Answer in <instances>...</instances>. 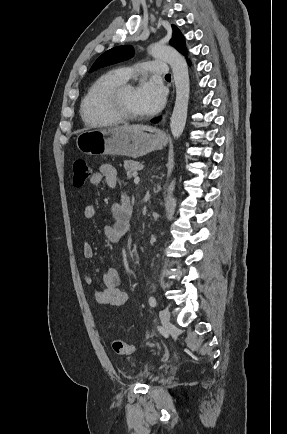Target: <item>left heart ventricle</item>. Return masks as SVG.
Listing matches in <instances>:
<instances>
[{"mask_svg": "<svg viewBox=\"0 0 287 434\" xmlns=\"http://www.w3.org/2000/svg\"><path fill=\"white\" fill-rule=\"evenodd\" d=\"M123 105L125 109L135 115H143L145 114L140 108L137 98H136V89L130 88L127 89L122 97Z\"/></svg>", "mask_w": 287, "mask_h": 434, "instance_id": "left-heart-ventricle-1", "label": "left heart ventricle"}]
</instances>
